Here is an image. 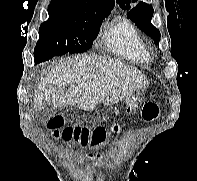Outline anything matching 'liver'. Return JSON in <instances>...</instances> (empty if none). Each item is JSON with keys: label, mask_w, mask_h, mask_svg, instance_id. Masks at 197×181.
<instances>
[{"label": "liver", "mask_w": 197, "mask_h": 181, "mask_svg": "<svg viewBox=\"0 0 197 181\" xmlns=\"http://www.w3.org/2000/svg\"><path fill=\"white\" fill-rule=\"evenodd\" d=\"M147 84L138 69L118 60L78 55L55 63L38 86L34 109L40 111L46 104L54 108L72 105L90 111L99 103H118ZM67 85H71V89L65 93Z\"/></svg>", "instance_id": "obj_1"}]
</instances>
